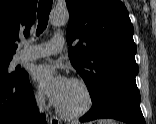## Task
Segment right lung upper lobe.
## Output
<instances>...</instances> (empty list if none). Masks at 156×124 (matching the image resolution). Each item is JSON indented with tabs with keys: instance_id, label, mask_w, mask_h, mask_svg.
Here are the masks:
<instances>
[{
	"instance_id": "obj_1",
	"label": "right lung upper lobe",
	"mask_w": 156,
	"mask_h": 124,
	"mask_svg": "<svg viewBox=\"0 0 156 124\" xmlns=\"http://www.w3.org/2000/svg\"><path fill=\"white\" fill-rule=\"evenodd\" d=\"M37 0H0V60L12 59L19 34L28 36Z\"/></svg>"
}]
</instances>
